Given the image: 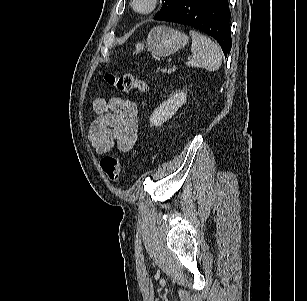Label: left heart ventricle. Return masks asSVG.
<instances>
[{
	"instance_id": "b2bd125f",
	"label": "left heart ventricle",
	"mask_w": 307,
	"mask_h": 301,
	"mask_svg": "<svg viewBox=\"0 0 307 301\" xmlns=\"http://www.w3.org/2000/svg\"><path fill=\"white\" fill-rule=\"evenodd\" d=\"M149 0H138L137 6L141 9H144L148 6Z\"/></svg>"
}]
</instances>
